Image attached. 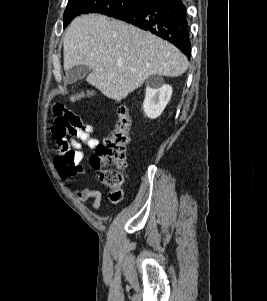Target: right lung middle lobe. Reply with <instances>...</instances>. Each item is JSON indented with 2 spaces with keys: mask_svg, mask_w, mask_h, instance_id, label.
I'll return each mask as SVG.
<instances>
[{
  "mask_svg": "<svg viewBox=\"0 0 267 301\" xmlns=\"http://www.w3.org/2000/svg\"><path fill=\"white\" fill-rule=\"evenodd\" d=\"M142 4H145L143 0H69L64 12V26L81 14L94 12L114 17Z\"/></svg>",
  "mask_w": 267,
  "mask_h": 301,
  "instance_id": "obj_1",
  "label": "right lung middle lobe"
}]
</instances>
